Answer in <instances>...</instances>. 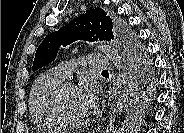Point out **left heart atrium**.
<instances>
[{"instance_id":"1","label":"left heart atrium","mask_w":184,"mask_h":133,"mask_svg":"<svg viewBox=\"0 0 184 133\" xmlns=\"http://www.w3.org/2000/svg\"><path fill=\"white\" fill-rule=\"evenodd\" d=\"M78 95L88 109L92 107L97 100V89L95 85L90 81H85L77 88Z\"/></svg>"}]
</instances>
